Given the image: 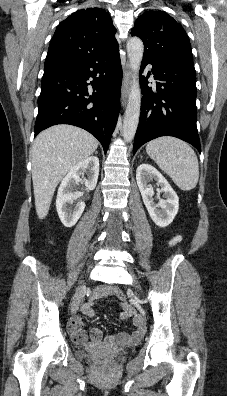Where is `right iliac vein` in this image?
I'll list each match as a JSON object with an SVG mask.
<instances>
[{"label": "right iliac vein", "mask_w": 227, "mask_h": 396, "mask_svg": "<svg viewBox=\"0 0 227 396\" xmlns=\"http://www.w3.org/2000/svg\"><path fill=\"white\" fill-rule=\"evenodd\" d=\"M84 295H85V286L81 285L77 288L76 293H75L72 303H71V312L72 313L77 312L80 302L83 299Z\"/></svg>", "instance_id": "right-iliac-vein-1"}]
</instances>
